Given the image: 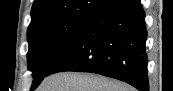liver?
<instances>
[{
  "label": "liver",
  "mask_w": 173,
  "mask_h": 91,
  "mask_svg": "<svg viewBox=\"0 0 173 91\" xmlns=\"http://www.w3.org/2000/svg\"><path fill=\"white\" fill-rule=\"evenodd\" d=\"M37 91H135L126 83L102 75L60 72L44 78Z\"/></svg>",
  "instance_id": "1"
}]
</instances>
